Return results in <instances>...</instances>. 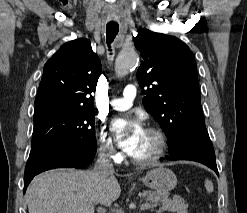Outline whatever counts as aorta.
<instances>
[{"label":"aorta","instance_id":"1","mask_svg":"<svg viewBox=\"0 0 247 213\" xmlns=\"http://www.w3.org/2000/svg\"><path fill=\"white\" fill-rule=\"evenodd\" d=\"M139 61L138 54L135 51L120 52L115 65V72L118 77L125 76L130 69L135 67Z\"/></svg>","mask_w":247,"mask_h":213}]
</instances>
